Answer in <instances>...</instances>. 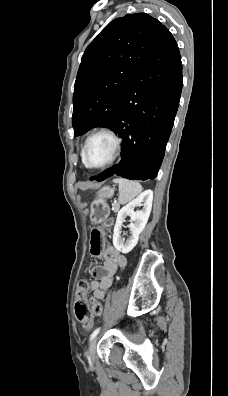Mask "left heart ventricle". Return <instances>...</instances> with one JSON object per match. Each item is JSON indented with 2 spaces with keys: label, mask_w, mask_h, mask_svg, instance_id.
I'll list each match as a JSON object with an SVG mask.
<instances>
[{
  "label": "left heart ventricle",
  "mask_w": 228,
  "mask_h": 396,
  "mask_svg": "<svg viewBox=\"0 0 228 396\" xmlns=\"http://www.w3.org/2000/svg\"><path fill=\"white\" fill-rule=\"evenodd\" d=\"M113 141L107 135H98L91 139L87 148V159L92 165L105 163L111 156Z\"/></svg>",
  "instance_id": "left-heart-ventricle-1"
}]
</instances>
